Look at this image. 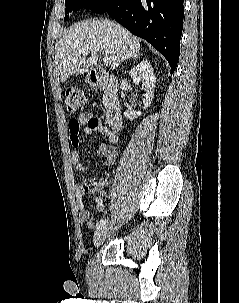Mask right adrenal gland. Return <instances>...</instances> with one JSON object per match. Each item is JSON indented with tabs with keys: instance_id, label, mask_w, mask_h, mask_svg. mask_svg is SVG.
<instances>
[{
	"instance_id": "1",
	"label": "right adrenal gland",
	"mask_w": 239,
	"mask_h": 303,
	"mask_svg": "<svg viewBox=\"0 0 239 303\" xmlns=\"http://www.w3.org/2000/svg\"><path fill=\"white\" fill-rule=\"evenodd\" d=\"M139 56H135V57H133V59H137Z\"/></svg>"
}]
</instances>
